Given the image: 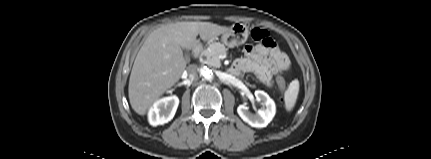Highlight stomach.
I'll return each instance as SVG.
<instances>
[{
  "label": "stomach",
  "instance_id": "1",
  "mask_svg": "<svg viewBox=\"0 0 431 159\" xmlns=\"http://www.w3.org/2000/svg\"><path fill=\"white\" fill-rule=\"evenodd\" d=\"M249 31L242 23L233 24L226 32L221 34V41L229 48L242 45L246 42Z\"/></svg>",
  "mask_w": 431,
  "mask_h": 159
}]
</instances>
